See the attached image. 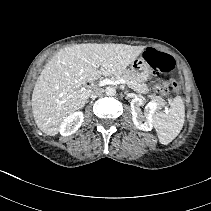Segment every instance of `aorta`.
Returning <instances> with one entry per match:
<instances>
[{
  "instance_id": "1",
  "label": "aorta",
  "mask_w": 211,
  "mask_h": 211,
  "mask_svg": "<svg viewBox=\"0 0 211 211\" xmlns=\"http://www.w3.org/2000/svg\"><path fill=\"white\" fill-rule=\"evenodd\" d=\"M105 91L108 96H114L116 94V89L114 87H107Z\"/></svg>"
}]
</instances>
